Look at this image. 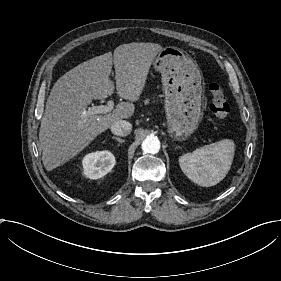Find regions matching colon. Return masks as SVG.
<instances>
[{
    "mask_svg": "<svg viewBox=\"0 0 281 281\" xmlns=\"http://www.w3.org/2000/svg\"><path fill=\"white\" fill-rule=\"evenodd\" d=\"M208 92L210 95V109L214 120L219 124L226 123L228 121L229 107L222 86L212 81L208 84Z\"/></svg>",
    "mask_w": 281,
    "mask_h": 281,
    "instance_id": "obj_1",
    "label": "colon"
}]
</instances>
